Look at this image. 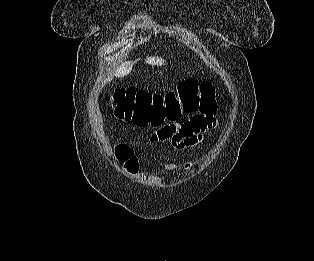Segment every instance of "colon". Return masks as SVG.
Segmentation results:
<instances>
[{
  "instance_id": "obj_1",
  "label": "colon",
  "mask_w": 314,
  "mask_h": 261,
  "mask_svg": "<svg viewBox=\"0 0 314 261\" xmlns=\"http://www.w3.org/2000/svg\"><path fill=\"white\" fill-rule=\"evenodd\" d=\"M214 87L195 79L182 81L175 91L164 95L141 89H118L114 93L117 118L140 127L160 129L166 120H183L186 115L215 109ZM116 151L128 172L136 170L130 147L119 145Z\"/></svg>"
}]
</instances>
